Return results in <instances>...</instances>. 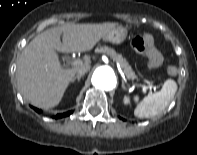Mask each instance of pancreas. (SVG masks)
Here are the masks:
<instances>
[{
    "label": "pancreas",
    "instance_id": "pancreas-1",
    "mask_svg": "<svg viewBox=\"0 0 197 155\" xmlns=\"http://www.w3.org/2000/svg\"><path fill=\"white\" fill-rule=\"evenodd\" d=\"M96 52L105 53L108 56H110L114 61L119 62L121 68L123 69V72L125 73L128 79L137 78V76L133 72L132 67L129 65L126 59L123 58L121 54L116 53L115 50L109 48L108 46H101V47L96 48Z\"/></svg>",
    "mask_w": 197,
    "mask_h": 155
}]
</instances>
